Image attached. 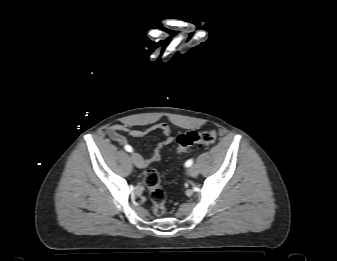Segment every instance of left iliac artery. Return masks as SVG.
Returning a JSON list of instances; mask_svg holds the SVG:
<instances>
[{
  "label": "left iliac artery",
  "instance_id": "obj_1",
  "mask_svg": "<svg viewBox=\"0 0 337 261\" xmlns=\"http://www.w3.org/2000/svg\"><path fill=\"white\" fill-rule=\"evenodd\" d=\"M192 164H193V160L189 159V160L186 161L185 166L190 167V166H192Z\"/></svg>",
  "mask_w": 337,
  "mask_h": 261
}]
</instances>
